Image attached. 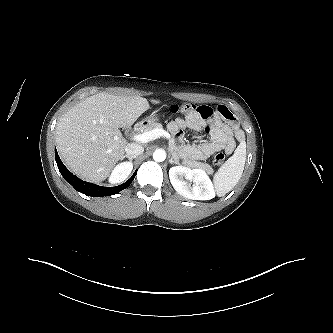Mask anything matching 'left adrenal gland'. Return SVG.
<instances>
[{
  "label": "left adrenal gland",
  "instance_id": "1",
  "mask_svg": "<svg viewBox=\"0 0 333 333\" xmlns=\"http://www.w3.org/2000/svg\"><path fill=\"white\" fill-rule=\"evenodd\" d=\"M169 163L171 164H180L178 158L172 154V157L169 159Z\"/></svg>",
  "mask_w": 333,
  "mask_h": 333
}]
</instances>
